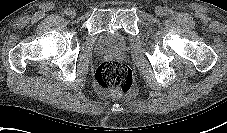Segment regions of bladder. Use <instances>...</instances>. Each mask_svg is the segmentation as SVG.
Here are the masks:
<instances>
[{"label": "bladder", "mask_w": 227, "mask_h": 133, "mask_svg": "<svg viewBox=\"0 0 227 133\" xmlns=\"http://www.w3.org/2000/svg\"><path fill=\"white\" fill-rule=\"evenodd\" d=\"M95 48L99 52H122L127 48V39L120 32H103L98 36Z\"/></svg>", "instance_id": "31cf9c89"}]
</instances>
